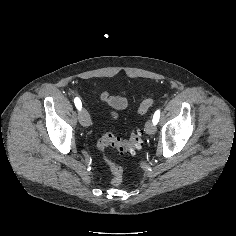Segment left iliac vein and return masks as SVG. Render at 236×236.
Returning <instances> with one entry per match:
<instances>
[{"label":"left iliac vein","mask_w":236,"mask_h":236,"mask_svg":"<svg viewBox=\"0 0 236 236\" xmlns=\"http://www.w3.org/2000/svg\"><path fill=\"white\" fill-rule=\"evenodd\" d=\"M145 132L149 135H153L156 132V126L153 121L148 120L145 124Z\"/></svg>","instance_id":"1"}]
</instances>
